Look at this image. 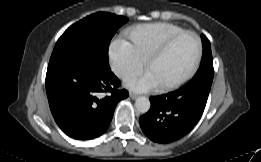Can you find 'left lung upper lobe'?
I'll list each match as a JSON object with an SVG mask.
<instances>
[{
	"label": "left lung upper lobe",
	"mask_w": 261,
	"mask_h": 162,
	"mask_svg": "<svg viewBox=\"0 0 261 162\" xmlns=\"http://www.w3.org/2000/svg\"><path fill=\"white\" fill-rule=\"evenodd\" d=\"M201 40L203 43V55H202L200 67L194 77L199 75L213 76L214 69H213V59H212L210 41L204 35L201 36Z\"/></svg>",
	"instance_id": "obj_1"
}]
</instances>
